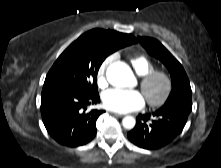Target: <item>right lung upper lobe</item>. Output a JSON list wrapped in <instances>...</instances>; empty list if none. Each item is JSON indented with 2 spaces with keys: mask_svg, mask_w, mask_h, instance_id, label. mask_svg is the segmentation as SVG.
<instances>
[{
  "mask_svg": "<svg viewBox=\"0 0 221 168\" xmlns=\"http://www.w3.org/2000/svg\"><path fill=\"white\" fill-rule=\"evenodd\" d=\"M80 38H90L100 45L118 49L137 42L136 38L131 34L102 29L88 31L80 36Z\"/></svg>",
  "mask_w": 221,
  "mask_h": 168,
  "instance_id": "1",
  "label": "right lung upper lobe"
}]
</instances>
